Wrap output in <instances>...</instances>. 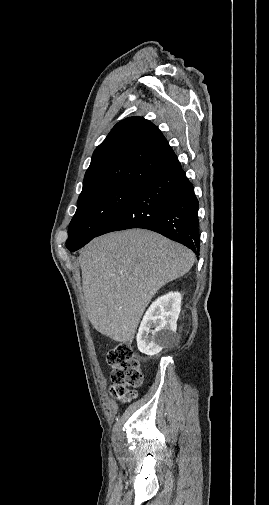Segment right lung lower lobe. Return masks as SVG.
<instances>
[{"instance_id": "1", "label": "right lung lower lobe", "mask_w": 269, "mask_h": 505, "mask_svg": "<svg viewBox=\"0 0 269 505\" xmlns=\"http://www.w3.org/2000/svg\"><path fill=\"white\" fill-rule=\"evenodd\" d=\"M199 202L179 161L140 186L97 236L130 228L155 231L190 248H200Z\"/></svg>"}]
</instances>
